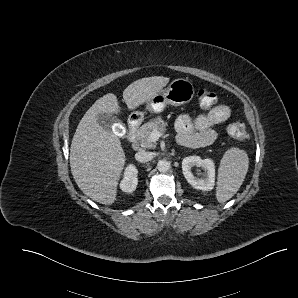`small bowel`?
Segmentation results:
<instances>
[{
  "label": "small bowel",
  "instance_id": "c3829d8e",
  "mask_svg": "<svg viewBox=\"0 0 298 298\" xmlns=\"http://www.w3.org/2000/svg\"><path fill=\"white\" fill-rule=\"evenodd\" d=\"M230 116V107L221 104L194 120L188 115H180L176 120V128L180 133L179 135L195 137L199 142L198 146H205L217 139V132L213 128L228 120Z\"/></svg>",
  "mask_w": 298,
  "mask_h": 298
}]
</instances>
